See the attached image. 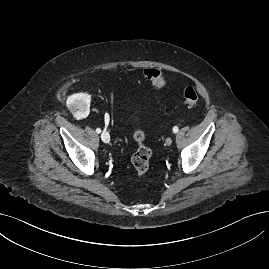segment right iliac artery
Segmentation results:
<instances>
[{
  "label": "right iliac artery",
  "instance_id": "obj_1",
  "mask_svg": "<svg viewBox=\"0 0 269 269\" xmlns=\"http://www.w3.org/2000/svg\"><path fill=\"white\" fill-rule=\"evenodd\" d=\"M96 132L99 134V133H101V129L100 128H97L96 129Z\"/></svg>",
  "mask_w": 269,
  "mask_h": 269
}]
</instances>
